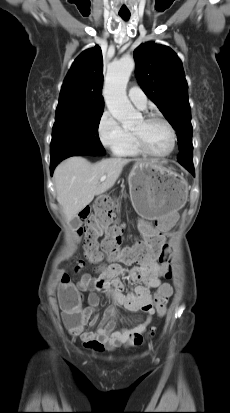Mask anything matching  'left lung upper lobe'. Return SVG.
<instances>
[{
    "mask_svg": "<svg viewBox=\"0 0 230 413\" xmlns=\"http://www.w3.org/2000/svg\"><path fill=\"white\" fill-rule=\"evenodd\" d=\"M136 77L177 133L178 162L193 165L191 108L182 62L168 46L141 44L135 49Z\"/></svg>",
    "mask_w": 230,
    "mask_h": 413,
    "instance_id": "obj_1",
    "label": "left lung upper lobe"
}]
</instances>
